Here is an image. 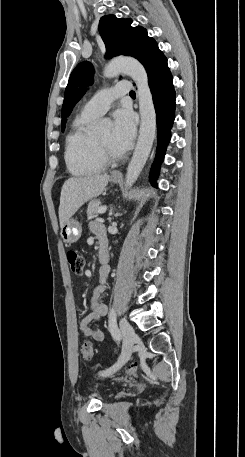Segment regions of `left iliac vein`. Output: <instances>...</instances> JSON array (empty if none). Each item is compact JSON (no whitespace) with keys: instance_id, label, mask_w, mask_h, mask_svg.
Returning <instances> with one entry per match:
<instances>
[{"instance_id":"left-iliac-vein-1","label":"left iliac vein","mask_w":245,"mask_h":457,"mask_svg":"<svg viewBox=\"0 0 245 457\" xmlns=\"http://www.w3.org/2000/svg\"><path fill=\"white\" fill-rule=\"evenodd\" d=\"M120 330L122 332L124 342L122 348V355L119 358V361L112 368H109L105 371L108 374H113L119 367H121L125 362H127L129 357L131 356L132 346L135 339L134 329L127 320L121 318Z\"/></svg>"}]
</instances>
